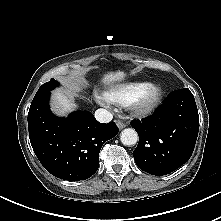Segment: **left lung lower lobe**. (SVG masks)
I'll return each mask as SVG.
<instances>
[{
  "instance_id": "obj_1",
  "label": "left lung lower lobe",
  "mask_w": 221,
  "mask_h": 221,
  "mask_svg": "<svg viewBox=\"0 0 221 221\" xmlns=\"http://www.w3.org/2000/svg\"><path fill=\"white\" fill-rule=\"evenodd\" d=\"M131 126L139 135L137 166L156 176L169 174L191 157L199 131L195 99L187 88L170 93L155 113Z\"/></svg>"
}]
</instances>
